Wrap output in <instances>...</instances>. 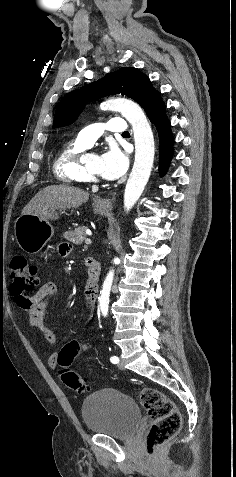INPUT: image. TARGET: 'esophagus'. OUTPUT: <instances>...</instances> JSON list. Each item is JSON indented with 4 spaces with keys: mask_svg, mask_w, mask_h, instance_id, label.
I'll return each instance as SVG.
<instances>
[{
    "mask_svg": "<svg viewBox=\"0 0 236 477\" xmlns=\"http://www.w3.org/2000/svg\"><path fill=\"white\" fill-rule=\"evenodd\" d=\"M115 197L113 196L112 198H104V199H99L98 203L101 207L105 209H111L112 208V203Z\"/></svg>",
    "mask_w": 236,
    "mask_h": 477,
    "instance_id": "1",
    "label": "esophagus"
}]
</instances>
